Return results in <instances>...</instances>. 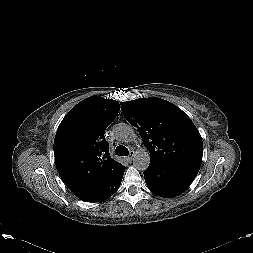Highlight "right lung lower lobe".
<instances>
[{"mask_svg":"<svg viewBox=\"0 0 253 253\" xmlns=\"http://www.w3.org/2000/svg\"><path fill=\"white\" fill-rule=\"evenodd\" d=\"M124 171L115 180H113L109 185L100 189L99 191H97L96 193H94L89 198L85 199L84 201H86V202H100V201H103V200L109 198L111 195H113L119 189Z\"/></svg>","mask_w":253,"mask_h":253,"instance_id":"obj_1","label":"right lung lower lobe"}]
</instances>
